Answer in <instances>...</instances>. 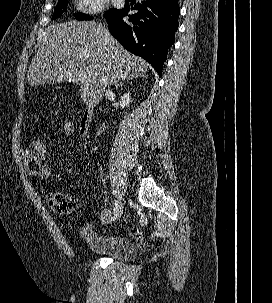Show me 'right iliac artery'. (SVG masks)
Here are the masks:
<instances>
[{
    "label": "right iliac artery",
    "instance_id": "82829eb1",
    "mask_svg": "<svg viewBox=\"0 0 272 303\" xmlns=\"http://www.w3.org/2000/svg\"><path fill=\"white\" fill-rule=\"evenodd\" d=\"M112 211H114L113 213L117 211V201L114 202V206H112Z\"/></svg>",
    "mask_w": 272,
    "mask_h": 303
}]
</instances>
